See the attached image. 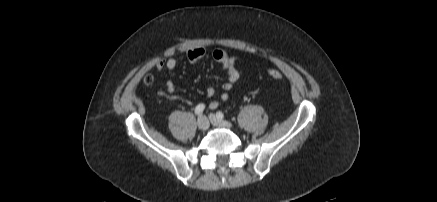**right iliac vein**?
<instances>
[{"label": "right iliac vein", "mask_w": 437, "mask_h": 202, "mask_svg": "<svg viewBox=\"0 0 437 202\" xmlns=\"http://www.w3.org/2000/svg\"><path fill=\"white\" fill-rule=\"evenodd\" d=\"M197 126L200 130L205 131L209 128V121L205 116H200L197 120Z\"/></svg>", "instance_id": "63e3f726"}]
</instances>
